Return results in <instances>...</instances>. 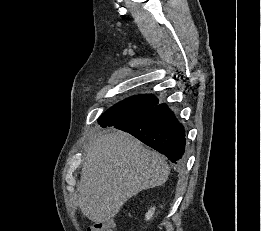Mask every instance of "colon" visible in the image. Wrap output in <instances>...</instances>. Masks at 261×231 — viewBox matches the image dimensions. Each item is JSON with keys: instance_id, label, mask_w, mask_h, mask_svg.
Listing matches in <instances>:
<instances>
[{"instance_id": "obj_1", "label": "colon", "mask_w": 261, "mask_h": 231, "mask_svg": "<svg viewBox=\"0 0 261 231\" xmlns=\"http://www.w3.org/2000/svg\"><path fill=\"white\" fill-rule=\"evenodd\" d=\"M113 228V220L112 219H105L99 222H96L91 231H112Z\"/></svg>"}]
</instances>
